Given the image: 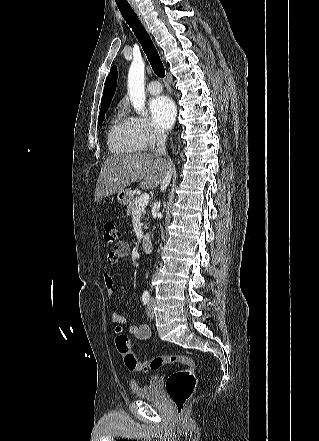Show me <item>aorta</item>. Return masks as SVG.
<instances>
[{
    "mask_svg": "<svg viewBox=\"0 0 319 441\" xmlns=\"http://www.w3.org/2000/svg\"><path fill=\"white\" fill-rule=\"evenodd\" d=\"M145 63L142 58H134L128 72L127 89L130 101L135 110L143 116L145 112V88H144Z\"/></svg>",
    "mask_w": 319,
    "mask_h": 441,
    "instance_id": "obj_1",
    "label": "aorta"
}]
</instances>
